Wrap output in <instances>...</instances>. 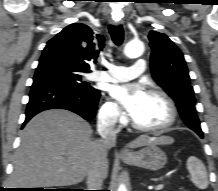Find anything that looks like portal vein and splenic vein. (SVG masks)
<instances>
[{
	"label": "portal vein and splenic vein",
	"mask_w": 218,
	"mask_h": 191,
	"mask_svg": "<svg viewBox=\"0 0 218 191\" xmlns=\"http://www.w3.org/2000/svg\"><path fill=\"white\" fill-rule=\"evenodd\" d=\"M163 189V185L159 184L155 187V190H162Z\"/></svg>",
	"instance_id": "portal-vein-and-splenic-vein-1"
}]
</instances>
